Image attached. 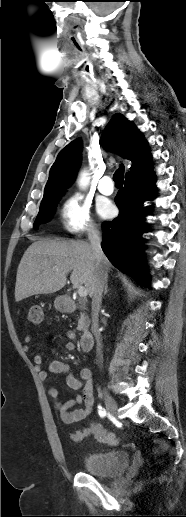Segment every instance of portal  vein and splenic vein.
Masks as SVG:
<instances>
[{
	"label": "portal vein and splenic vein",
	"mask_w": 186,
	"mask_h": 517,
	"mask_svg": "<svg viewBox=\"0 0 186 517\" xmlns=\"http://www.w3.org/2000/svg\"><path fill=\"white\" fill-rule=\"evenodd\" d=\"M78 294L80 297H86L87 296V290L83 286H78Z\"/></svg>",
	"instance_id": "18ae733b"
}]
</instances>
